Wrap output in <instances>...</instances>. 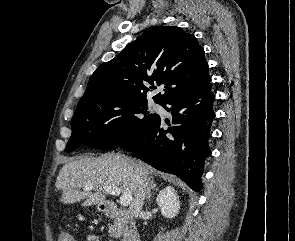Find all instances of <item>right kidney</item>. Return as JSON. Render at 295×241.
Returning <instances> with one entry per match:
<instances>
[{
	"label": "right kidney",
	"instance_id": "1",
	"mask_svg": "<svg viewBox=\"0 0 295 241\" xmlns=\"http://www.w3.org/2000/svg\"><path fill=\"white\" fill-rule=\"evenodd\" d=\"M161 213L166 218H174L180 209V201L174 188L168 186L161 190L156 198Z\"/></svg>",
	"mask_w": 295,
	"mask_h": 241
}]
</instances>
